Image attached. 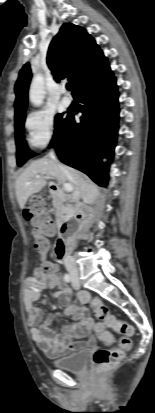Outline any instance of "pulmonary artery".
<instances>
[{"instance_id": "pulmonary-artery-1", "label": "pulmonary artery", "mask_w": 155, "mask_h": 413, "mask_svg": "<svg viewBox=\"0 0 155 413\" xmlns=\"http://www.w3.org/2000/svg\"><path fill=\"white\" fill-rule=\"evenodd\" d=\"M61 94H62V103L65 106H70L72 103L71 98L66 94V88L64 86L61 87Z\"/></svg>"}]
</instances>
